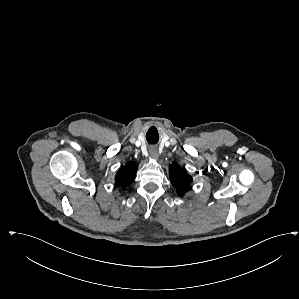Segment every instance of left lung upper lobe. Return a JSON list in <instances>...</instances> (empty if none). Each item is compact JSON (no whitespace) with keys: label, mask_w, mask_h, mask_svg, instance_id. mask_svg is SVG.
Returning a JSON list of instances; mask_svg holds the SVG:
<instances>
[{"label":"left lung upper lobe","mask_w":299,"mask_h":299,"mask_svg":"<svg viewBox=\"0 0 299 299\" xmlns=\"http://www.w3.org/2000/svg\"><path fill=\"white\" fill-rule=\"evenodd\" d=\"M170 181L172 185L177 189L179 196L184 195L189 189L192 183V177L181 167L172 165L170 167Z\"/></svg>","instance_id":"left-lung-upper-lobe-1"}]
</instances>
